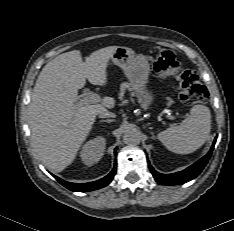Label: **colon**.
Segmentation results:
<instances>
[{"label": "colon", "instance_id": "1", "mask_svg": "<svg viewBox=\"0 0 234 231\" xmlns=\"http://www.w3.org/2000/svg\"><path fill=\"white\" fill-rule=\"evenodd\" d=\"M152 69L159 77H173L177 80L179 97L184 104L202 103L208 98V91L199 81L197 74L183 70L173 52L168 50L159 52L153 61Z\"/></svg>", "mask_w": 234, "mask_h": 231}]
</instances>
